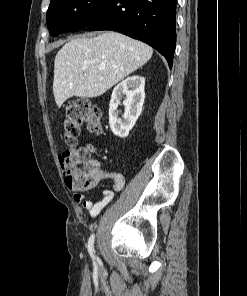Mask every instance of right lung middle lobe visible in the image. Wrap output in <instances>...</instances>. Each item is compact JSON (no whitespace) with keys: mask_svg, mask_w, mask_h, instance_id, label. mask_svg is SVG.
<instances>
[{"mask_svg":"<svg viewBox=\"0 0 247 296\" xmlns=\"http://www.w3.org/2000/svg\"><path fill=\"white\" fill-rule=\"evenodd\" d=\"M102 0H51L46 15L50 35L85 28Z\"/></svg>","mask_w":247,"mask_h":296,"instance_id":"dd1d6c3e","label":"right lung middle lobe"}]
</instances>
